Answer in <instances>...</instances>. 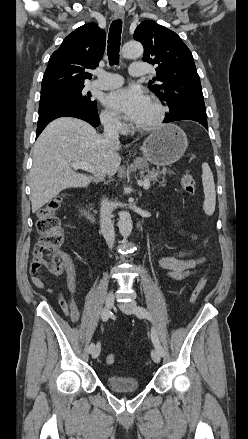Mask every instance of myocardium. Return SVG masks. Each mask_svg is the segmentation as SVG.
I'll return each mask as SVG.
<instances>
[{
    "label": "myocardium",
    "mask_w": 248,
    "mask_h": 439,
    "mask_svg": "<svg viewBox=\"0 0 248 439\" xmlns=\"http://www.w3.org/2000/svg\"><path fill=\"white\" fill-rule=\"evenodd\" d=\"M149 102L155 107L156 109V116L155 118L148 124L145 125H135L134 129L138 132L147 133L154 130H157L161 127L163 124L165 117H166V108L165 106L156 98H150Z\"/></svg>",
    "instance_id": "1"
}]
</instances>
